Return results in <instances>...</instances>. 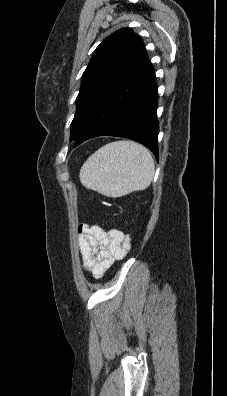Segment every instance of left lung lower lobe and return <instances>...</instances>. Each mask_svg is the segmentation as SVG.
I'll return each mask as SVG.
<instances>
[{"label":"left lung lower lobe","mask_w":227,"mask_h":396,"mask_svg":"<svg viewBox=\"0 0 227 396\" xmlns=\"http://www.w3.org/2000/svg\"><path fill=\"white\" fill-rule=\"evenodd\" d=\"M156 76L147 58L97 105L75 147L98 136H117L137 141L149 148L157 161Z\"/></svg>","instance_id":"1"}]
</instances>
